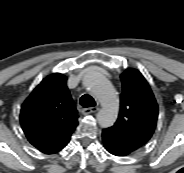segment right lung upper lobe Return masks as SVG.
<instances>
[{
    "label": "right lung upper lobe",
    "instance_id": "1",
    "mask_svg": "<svg viewBox=\"0 0 184 173\" xmlns=\"http://www.w3.org/2000/svg\"><path fill=\"white\" fill-rule=\"evenodd\" d=\"M60 73L47 76L21 108L22 129L29 142L45 154L61 151L78 125V111Z\"/></svg>",
    "mask_w": 184,
    "mask_h": 173
}]
</instances>
